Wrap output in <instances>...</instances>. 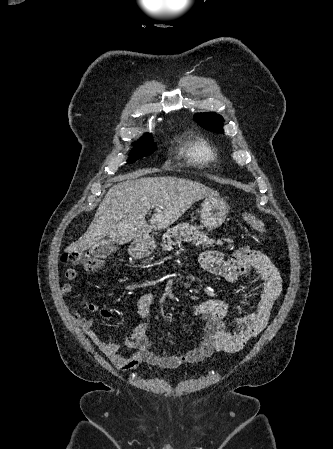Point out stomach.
<instances>
[{"label":"stomach","instance_id":"obj_1","mask_svg":"<svg viewBox=\"0 0 333 449\" xmlns=\"http://www.w3.org/2000/svg\"><path fill=\"white\" fill-rule=\"evenodd\" d=\"M229 205L227 202L218 197H207L202 203L200 222L201 227H206L209 230L217 228L223 224L228 213ZM156 247L153 239H140L135 240L130 248L129 252L136 258L148 256Z\"/></svg>","mask_w":333,"mask_h":449}]
</instances>
